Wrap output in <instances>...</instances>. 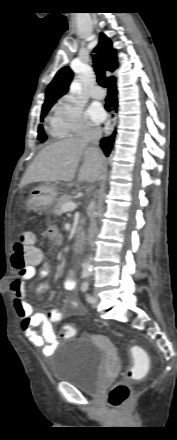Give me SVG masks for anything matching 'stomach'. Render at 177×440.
<instances>
[{
	"instance_id": "1",
	"label": "stomach",
	"mask_w": 177,
	"mask_h": 440,
	"mask_svg": "<svg viewBox=\"0 0 177 440\" xmlns=\"http://www.w3.org/2000/svg\"><path fill=\"white\" fill-rule=\"evenodd\" d=\"M57 195L56 184H42L30 191L26 201V208L29 211L49 213L54 208Z\"/></svg>"
}]
</instances>
